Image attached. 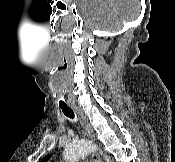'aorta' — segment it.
<instances>
[{
	"label": "aorta",
	"instance_id": "aorta-1",
	"mask_svg": "<svg viewBox=\"0 0 175 162\" xmlns=\"http://www.w3.org/2000/svg\"><path fill=\"white\" fill-rule=\"evenodd\" d=\"M96 150V146L87 140L72 142L66 145L64 149V158L68 162H76L77 160L89 155ZM106 162H111L110 158L104 156Z\"/></svg>",
	"mask_w": 175,
	"mask_h": 162
}]
</instances>
